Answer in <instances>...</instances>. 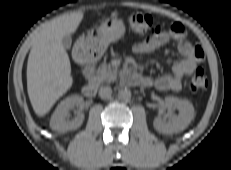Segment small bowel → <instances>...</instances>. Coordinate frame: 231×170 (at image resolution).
Returning a JSON list of instances; mask_svg holds the SVG:
<instances>
[{"label": "small bowel", "mask_w": 231, "mask_h": 170, "mask_svg": "<svg viewBox=\"0 0 231 170\" xmlns=\"http://www.w3.org/2000/svg\"><path fill=\"white\" fill-rule=\"evenodd\" d=\"M171 40L177 41L178 51L182 58L172 65L171 72L163 74L155 80L139 76V83L145 86H155L160 91L181 90L184 77L192 73L204 58L203 49L200 46L192 45L186 39V30L183 24L179 22L171 24L167 30L136 42L132 50L136 54H150Z\"/></svg>", "instance_id": "obj_1"}]
</instances>
